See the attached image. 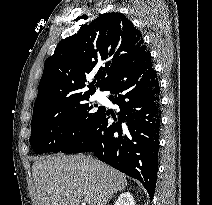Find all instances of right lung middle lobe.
<instances>
[{"label":"right lung middle lobe","instance_id":"right-lung-middle-lobe-1","mask_svg":"<svg viewBox=\"0 0 212 205\" xmlns=\"http://www.w3.org/2000/svg\"><path fill=\"white\" fill-rule=\"evenodd\" d=\"M90 96L75 102L44 107L33 111L30 144L38 154L59 152L82 136L100 116L103 108L96 112L95 105L86 103Z\"/></svg>","mask_w":212,"mask_h":205}]
</instances>
